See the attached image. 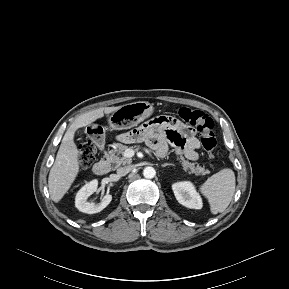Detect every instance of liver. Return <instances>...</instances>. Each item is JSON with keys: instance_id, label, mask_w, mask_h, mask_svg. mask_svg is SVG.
I'll use <instances>...</instances> for the list:
<instances>
[{"instance_id": "1", "label": "liver", "mask_w": 289, "mask_h": 289, "mask_svg": "<svg viewBox=\"0 0 289 289\" xmlns=\"http://www.w3.org/2000/svg\"><path fill=\"white\" fill-rule=\"evenodd\" d=\"M120 107H105L84 113L78 116L67 129L48 177L49 193L54 202L58 203L63 198L80 170L79 151L74 142L75 132L102 118L104 113L108 115Z\"/></svg>"}]
</instances>
